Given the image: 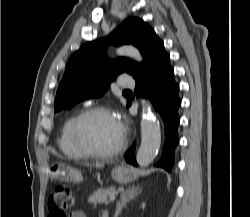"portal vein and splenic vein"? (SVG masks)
Instances as JSON below:
<instances>
[{
	"label": "portal vein and splenic vein",
	"mask_w": 250,
	"mask_h": 217,
	"mask_svg": "<svg viewBox=\"0 0 250 217\" xmlns=\"http://www.w3.org/2000/svg\"><path fill=\"white\" fill-rule=\"evenodd\" d=\"M115 197H116V195L113 194V195H111V196L109 197V200H110V201H114V200H115Z\"/></svg>",
	"instance_id": "1"
}]
</instances>
